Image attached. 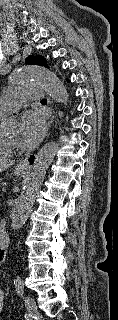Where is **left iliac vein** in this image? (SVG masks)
<instances>
[{
    "label": "left iliac vein",
    "mask_w": 118,
    "mask_h": 320,
    "mask_svg": "<svg viewBox=\"0 0 118 320\" xmlns=\"http://www.w3.org/2000/svg\"><path fill=\"white\" fill-rule=\"evenodd\" d=\"M25 305H26L27 310L30 313H34L37 310V306H36L35 300L29 295H27L25 297Z\"/></svg>",
    "instance_id": "1"
}]
</instances>
